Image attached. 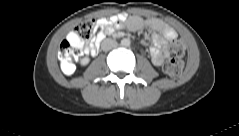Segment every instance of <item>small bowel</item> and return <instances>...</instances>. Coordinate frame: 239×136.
Wrapping results in <instances>:
<instances>
[{
  "label": "small bowel",
  "instance_id": "1",
  "mask_svg": "<svg viewBox=\"0 0 239 136\" xmlns=\"http://www.w3.org/2000/svg\"><path fill=\"white\" fill-rule=\"evenodd\" d=\"M98 25L101 28V32L98 34H110L114 27L123 28L128 26L133 31L141 30L145 27H149L154 31L151 37L146 41L149 44V53L154 65L161 66L170 57L169 43L177 39V32L158 18H142L139 16L126 17L125 15H118L112 19L101 18L98 20ZM97 35V36H98ZM68 39L74 43L79 44L80 49L89 54L94 44L95 39L92 42L79 43L77 37L73 32L68 34Z\"/></svg>",
  "mask_w": 239,
  "mask_h": 136
}]
</instances>
